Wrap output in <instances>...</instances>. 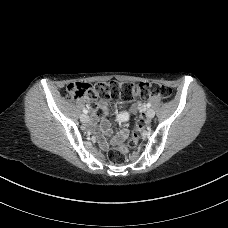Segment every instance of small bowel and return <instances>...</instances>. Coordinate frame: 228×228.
<instances>
[{
    "instance_id": "c3829d8e",
    "label": "small bowel",
    "mask_w": 228,
    "mask_h": 228,
    "mask_svg": "<svg viewBox=\"0 0 228 228\" xmlns=\"http://www.w3.org/2000/svg\"><path fill=\"white\" fill-rule=\"evenodd\" d=\"M98 106L100 108V113H101L100 128H98L95 123H93L90 126V128L99 139L101 147L104 149H107L110 145V141L120 142L127 137L128 132L127 130L122 129L116 135L112 136L110 122L107 118L109 113L108 102L106 100H103L99 103ZM138 108L140 111L144 110V107L142 104H138ZM118 121L122 123L124 121V117L120 116L118 118Z\"/></svg>"
}]
</instances>
